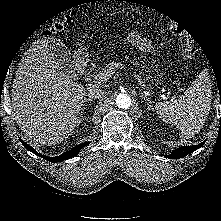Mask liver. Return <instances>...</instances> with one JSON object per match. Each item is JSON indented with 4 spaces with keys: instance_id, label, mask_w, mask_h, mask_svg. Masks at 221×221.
I'll list each match as a JSON object with an SVG mask.
<instances>
[{
    "instance_id": "6515ba94",
    "label": "liver",
    "mask_w": 221,
    "mask_h": 221,
    "mask_svg": "<svg viewBox=\"0 0 221 221\" xmlns=\"http://www.w3.org/2000/svg\"><path fill=\"white\" fill-rule=\"evenodd\" d=\"M86 92L56 60L46 39L19 63L12 108L19 128L34 141L57 144L71 135Z\"/></svg>"
}]
</instances>
